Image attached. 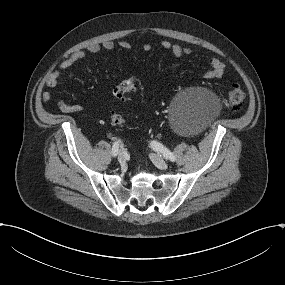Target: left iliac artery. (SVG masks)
Instances as JSON below:
<instances>
[{
  "label": "left iliac artery",
  "mask_w": 285,
  "mask_h": 285,
  "mask_svg": "<svg viewBox=\"0 0 285 285\" xmlns=\"http://www.w3.org/2000/svg\"><path fill=\"white\" fill-rule=\"evenodd\" d=\"M151 148L153 150L157 151L158 153H161L166 159H169L172 162L176 161V157L174 154L168 150L163 144L157 142V141H152L150 143Z\"/></svg>",
  "instance_id": "left-iliac-artery-1"
}]
</instances>
